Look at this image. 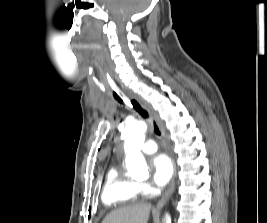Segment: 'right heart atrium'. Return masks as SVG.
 Masks as SVG:
<instances>
[{
  "instance_id": "d8ad5b80",
  "label": "right heart atrium",
  "mask_w": 267,
  "mask_h": 223,
  "mask_svg": "<svg viewBox=\"0 0 267 223\" xmlns=\"http://www.w3.org/2000/svg\"><path fill=\"white\" fill-rule=\"evenodd\" d=\"M138 187H139V191H141V192H148L149 191L148 186L145 184H138Z\"/></svg>"
}]
</instances>
